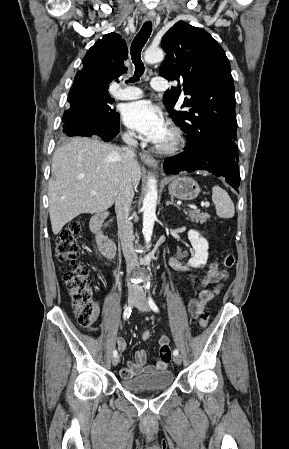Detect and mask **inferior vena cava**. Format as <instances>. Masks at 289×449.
I'll return each instance as SVG.
<instances>
[{"label":"inferior vena cava","mask_w":289,"mask_h":449,"mask_svg":"<svg viewBox=\"0 0 289 449\" xmlns=\"http://www.w3.org/2000/svg\"><path fill=\"white\" fill-rule=\"evenodd\" d=\"M123 141L128 145V147L123 149L124 166L120 175L115 201V211L117 215L118 233L121 240V247L126 260L127 271L130 274L136 267L139 266L138 257L134 252L133 247V224L129 218L130 207L134 197L132 168L136 163L135 151L133 147L137 145V141L131 133L123 135ZM128 290L129 292L141 293L142 287L139 284H132L128 282Z\"/></svg>","instance_id":"602c4592"}]
</instances>
